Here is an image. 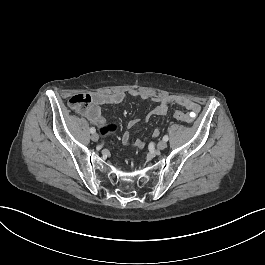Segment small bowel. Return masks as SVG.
Masks as SVG:
<instances>
[{
    "label": "small bowel",
    "mask_w": 265,
    "mask_h": 265,
    "mask_svg": "<svg viewBox=\"0 0 265 265\" xmlns=\"http://www.w3.org/2000/svg\"><path fill=\"white\" fill-rule=\"evenodd\" d=\"M143 100H150L156 104L154 109L150 112L149 116H162L165 115L171 106H180L185 109L188 114V123L194 121L198 113L200 112V105L194 100L180 96V95H155L151 96L146 92H136L133 94ZM127 99L126 94L122 91L115 92H97L93 95L92 103L79 109V114L86 118L90 123L94 125H102L105 121L102 112L103 106L115 105L123 103ZM137 124L136 120H130L127 124V130L123 132L121 140L124 145L135 149L141 150L145 145L144 139H139L135 142H130L131 129ZM160 134L159 129H155L152 133L154 138Z\"/></svg>",
    "instance_id": "small-bowel-1"
}]
</instances>
